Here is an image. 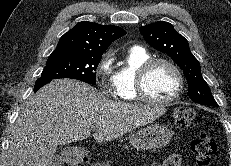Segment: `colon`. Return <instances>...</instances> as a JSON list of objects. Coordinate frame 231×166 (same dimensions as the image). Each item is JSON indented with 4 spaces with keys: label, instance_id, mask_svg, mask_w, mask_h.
Segmentation results:
<instances>
[{
    "label": "colon",
    "instance_id": "colon-1",
    "mask_svg": "<svg viewBox=\"0 0 231 166\" xmlns=\"http://www.w3.org/2000/svg\"><path fill=\"white\" fill-rule=\"evenodd\" d=\"M195 111L190 107L180 106L174 109L173 117L178 127L184 128L195 118ZM195 166H210L217 150L214 138L208 134H200L191 142ZM182 158L174 154L167 157L160 166H181ZM51 166H62L53 164Z\"/></svg>",
    "mask_w": 231,
    "mask_h": 166
}]
</instances>
